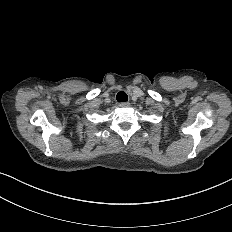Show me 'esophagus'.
Masks as SVG:
<instances>
[{
	"label": "esophagus",
	"instance_id": "obj_1",
	"mask_svg": "<svg viewBox=\"0 0 232 232\" xmlns=\"http://www.w3.org/2000/svg\"><path fill=\"white\" fill-rule=\"evenodd\" d=\"M119 106H120V107H129V106H130V103H128V102H121V103L119 104Z\"/></svg>",
	"mask_w": 232,
	"mask_h": 232
}]
</instances>
